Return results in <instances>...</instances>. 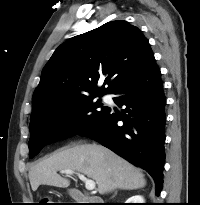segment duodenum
Here are the masks:
<instances>
[{
    "label": "duodenum",
    "instance_id": "duodenum-1",
    "mask_svg": "<svg viewBox=\"0 0 200 205\" xmlns=\"http://www.w3.org/2000/svg\"><path fill=\"white\" fill-rule=\"evenodd\" d=\"M70 196L74 201L82 204H95L99 201L98 198L86 196L78 189H71Z\"/></svg>",
    "mask_w": 200,
    "mask_h": 205
}]
</instances>
